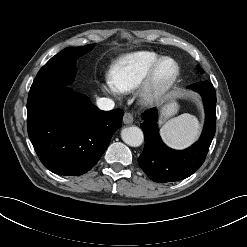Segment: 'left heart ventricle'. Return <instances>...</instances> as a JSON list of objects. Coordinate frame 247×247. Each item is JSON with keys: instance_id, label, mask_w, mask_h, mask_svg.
<instances>
[{"instance_id": "left-heart-ventricle-1", "label": "left heart ventricle", "mask_w": 247, "mask_h": 247, "mask_svg": "<svg viewBox=\"0 0 247 247\" xmlns=\"http://www.w3.org/2000/svg\"><path fill=\"white\" fill-rule=\"evenodd\" d=\"M173 72H174L173 64L171 62H164L158 70V74H157L158 81L163 82L167 80L172 75Z\"/></svg>"}]
</instances>
